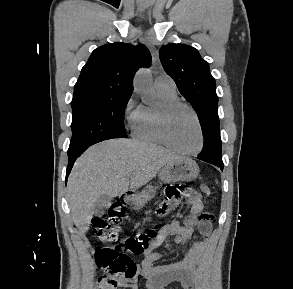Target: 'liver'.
I'll return each instance as SVG.
<instances>
[{"instance_id":"obj_1","label":"liver","mask_w":293,"mask_h":289,"mask_svg":"<svg viewBox=\"0 0 293 289\" xmlns=\"http://www.w3.org/2000/svg\"><path fill=\"white\" fill-rule=\"evenodd\" d=\"M181 158L171 151L135 139H111L86 150L76 161L67 185L72 221L86 232L101 196L116 197L151 181L168 162Z\"/></svg>"}]
</instances>
